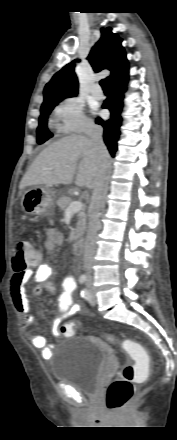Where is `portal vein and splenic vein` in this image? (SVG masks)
Wrapping results in <instances>:
<instances>
[{"mask_svg": "<svg viewBox=\"0 0 177 440\" xmlns=\"http://www.w3.org/2000/svg\"><path fill=\"white\" fill-rule=\"evenodd\" d=\"M82 208H83V204L81 201H74L68 206L66 213L69 214L77 213L80 210H82Z\"/></svg>", "mask_w": 177, "mask_h": 440, "instance_id": "18ae733b", "label": "portal vein and splenic vein"}]
</instances>
